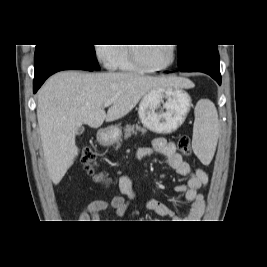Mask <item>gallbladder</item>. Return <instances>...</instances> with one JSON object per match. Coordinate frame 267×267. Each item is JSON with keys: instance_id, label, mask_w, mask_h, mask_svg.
<instances>
[{"instance_id": "1", "label": "gallbladder", "mask_w": 267, "mask_h": 267, "mask_svg": "<svg viewBox=\"0 0 267 267\" xmlns=\"http://www.w3.org/2000/svg\"><path fill=\"white\" fill-rule=\"evenodd\" d=\"M83 131H84V127H83V126L79 127V128L77 129V131H76V135H80V134H82Z\"/></svg>"}]
</instances>
